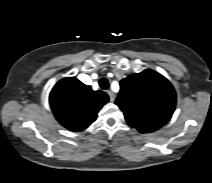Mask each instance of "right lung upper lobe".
<instances>
[{"label":"right lung upper lobe","mask_w":212,"mask_h":183,"mask_svg":"<svg viewBox=\"0 0 212 183\" xmlns=\"http://www.w3.org/2000/svg\"><path fill=\"white\" fill-rule=\"evenodd\" d=\"M103 91H93L75 77L60 80L50 93V106L61 125L81 131L97 118L98 111L108 102Z\"/></svg>","instance_id":"cb5924a9"}]
</instances>
